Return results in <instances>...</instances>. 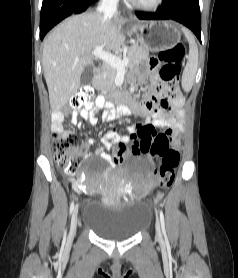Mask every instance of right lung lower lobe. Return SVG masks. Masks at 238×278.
<instances>
[{
    "label": "right lung lower lobe",
    "instance_id": "right-lung-lower-lobe-1",
    "mask_svg": "<svg viewBox=\"0 0 238 278\" xmlns=\"http://www.w3.org/2000/svg\"><path fill=\"white\" fill-rule=\"evenodd\" d=\"M98 0H43L40 16V38L58 22L70 16L85 11Z\"/></svg>",
    "mask_w": 238,
    "mask_h": 278
}]
</instances>
